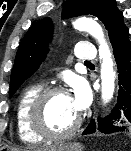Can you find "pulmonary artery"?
<instances>
[{"mask_svg":"<svg viewBox=\"0 0 131 151\" xmlns=\"http://www.w3.org/2000/svg\"><path fill=\"white\" fill-rule=\"evenodd\" d=\"M75 56L79 61L91 62L96 58V49L90 42L83 41L76 44L74 49Z\"/></svg>","mask_w":131,"mask_h":151,"instance_id":"1","label":"pulmonary artery"}]
</instances>
